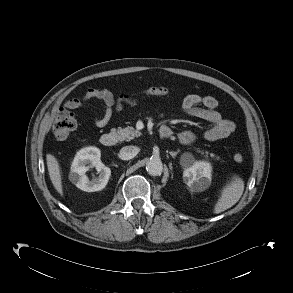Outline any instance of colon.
Segmentation results:
<instances>
[{"label": "colon", "mask_w": 293, "mask_h": 293, "mask_svg": "<svg viewBox=\"0 0 293 293\" xmlns=\"http://www.w3.org/2000/svg\"><path fill=\"white\" fill-rule=\"evenodd\" d=\"M143 94L146 95H166L168 89L166 87L157 86L145 89ZM77 121L74 114L66 109H60L54 119L52 131L57 139H66L76 128ZM244 156L240 152L234 154L236 162H242Z\"/></svg>", "instance_id": "colon-1"}]
</instances>
